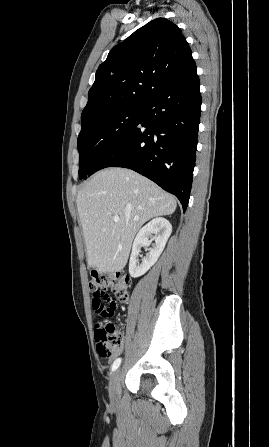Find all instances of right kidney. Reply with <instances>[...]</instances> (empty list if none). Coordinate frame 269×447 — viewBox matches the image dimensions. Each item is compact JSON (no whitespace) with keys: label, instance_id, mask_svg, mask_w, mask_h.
<instances>
[{"label":"right kidney","instance_id":"1","mask_svg":"<svg viewBox=\"0 0 269 447\" xmlns=\"http://www.w3.org/2000/svg\"><path fill=\"white\" fill-rule=\"evenodd\" d=\"M171 231L172 225L165 218H154L149 224L143 225L139 229L133 241L130 255L129 273L131 277H140L156 263L168 237L171 235ZM152 233H155V237H153L155 243H153L149 253H146L145 257H143L141 263H139V251H141V247H144V245H150L152 239H149V235H152Z\"/></svg>","mask_w":269,"mask_h":447}]
</instances>
